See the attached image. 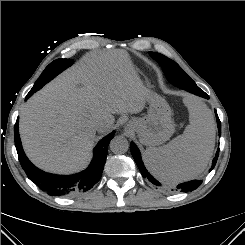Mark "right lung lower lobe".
I'll return each instance as SVG.
<instances>
[{"label":"right lung lower lobe","mask_w":245,"mask_h":245,"mask_svg":"<svg viewBox=\"0 0 245 245\" xmlns=\"http://www.w3.org/2000/svg\"><path fill=\"white\" fill-rule=\"evenodd\" d=\"M46 83L45 81L42 87ZM33 93L34 92L30 90L26 98H29ZM114 133L115 131L107 135L97 144L94 148L93 160L86 170L78 174L64 176L49 174L35 167L23 151L18 130V119L14 126L15 146L22 168L31 181L51 196H71L85 192L93 187L102 176L108 151L107 147L114 137Z\"/></svg>","instance_id":"98d812e1"}]
</instances>
